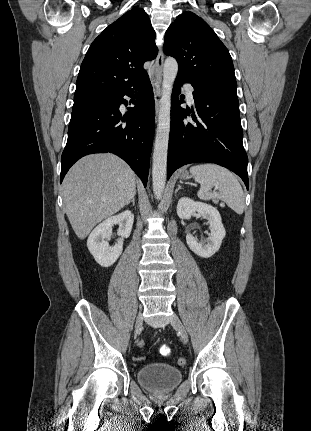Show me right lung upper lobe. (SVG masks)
Wrapping results in <instances>:
<instances>
[{
	"mask_svg": "<svg viewBox=\"0 0 311 431\" xmlns=\"http://www.w3.org/2000/svg\"><path fill=\"white\" fill-rule=\"evenodd\" d=\"M155 31L143 9L134 8L109 25L90 45L74 98L118 92L138 84L143 64L156 57Z\"/></svg>",
	"mask_w": 311,
	"mask_h": 431,
	"instance_id": "1",
	"label": "right lung upper lobe"
}]
</instances>
